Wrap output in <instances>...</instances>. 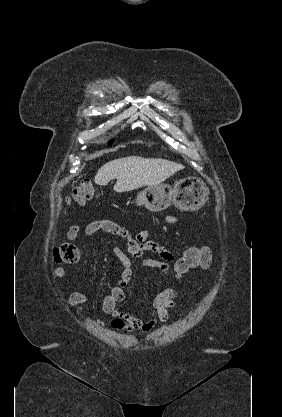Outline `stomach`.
Here are the masks:
<instances>
[{
	"label": "stomach",
	"instance_id": "stomach-1",
	"mask_svg": "<svg viewBox=\"0 0 282 417\" xmlns=\"http://www.w3.org/2000/svg\"><path fill=\"white\" fill-rule=\"evenodd\" d=\"M209 188L199 178H180L173 188L170 184L147 186L137 194L138 206H146L148 211L158 213L168 209L170 204L177 206L179 211H198L205 204Z\"/></svg>",
	"mask_w": 282,
	"mask_h": 417
}]
</instances>
